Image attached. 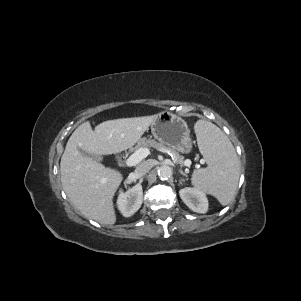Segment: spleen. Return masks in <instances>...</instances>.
I'll list each match as a JSON object with an SVG mask.
<instances>
[{"label": "spleen", "instance_id": "spleen-1", "mask_svg": "<svg viewBox=\"0 0 301 301\" xmlns=\"http://www.w3.org/2000/svg\"><path fill=\"white\" fill-rule=\"evenodd\" d=\"M195 131L199 150L208 166L193 172L192 184L227 205L236 194L239 180V159L235 149L220 128L209 121H197Z\"/></svg>", "mask_w": 301, "mask_h": 301}]
</instances>
